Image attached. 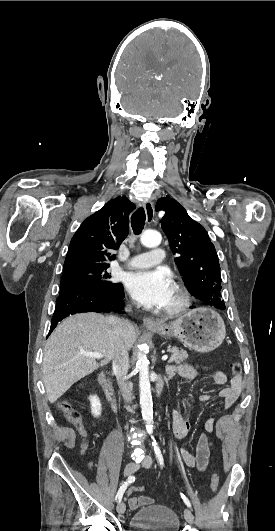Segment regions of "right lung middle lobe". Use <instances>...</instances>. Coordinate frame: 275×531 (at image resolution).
Listing matches in <instances>:
<instances>
[{"label":"right lung middle lobe","mask_w":275,"mask_h":531,"mask_svg":"<svg viewBox=\"0 0 275 531\" xmlns=\"http://www.w3.org/2000/svg\"><path fill=\"white\" fill-rule=\"evenodd\" d=\"M109 266H81L63 271L61 286L66 284H86L99 290L113 289L119 283H112L107 273Z\"/></svg>","instance_id":"dd1d6c3e"}]
</instances>
